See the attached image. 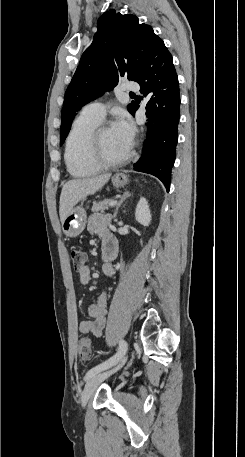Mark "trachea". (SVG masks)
Segmentation results:
<instances>
[{
  "instance_id": "3493384b",
  "label": "trachea",
  "mask_w": 245,
  "mask_h": 457,
  "mask_svg": "<svg viewBox=\"0 0 245 457\" xmlns=\"http://www.w3.org/2000/svg\"><path fill=\"white\" fill-rule=\"evenodd\" d=\"M130 95H135L133 92H130Z\"/></svg>"
}]
</instances>
